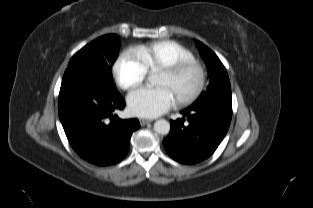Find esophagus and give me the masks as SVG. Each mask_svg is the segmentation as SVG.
<instances>
[{"label": "esophagus", "instance_id": "34e87169", "mask_svg": "<svg viewBox=\"0 0 313 208\" xmlns=\"http://www.w3.org/2000/svg\"><path fill=\"white\" fill-rule=\"evenodd\" d=\"M140 121V124H141V126H144V125H146V124H148V123H150V122H152V120H149V119H140L139 120Z\"/></svg>", "mask_w": 313, "mask_h": 208}]
</instances>
